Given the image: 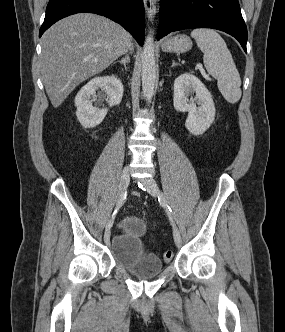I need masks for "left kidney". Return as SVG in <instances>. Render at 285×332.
<instances>
[{
  "mask_svg": "<svg viewBox=\"0 0 285 332\" xmlns=\"http://www.w3.org/2000/svg\"><path fill=\"white\" fill-rule=\"evenodd\" d=\"M193 93L195 98L188 97ZM197 100L199 107L194 103ZM174 107L179 112H188L185 127L193 135L203 134L215 119V106L205 85L193 74L183 73L174 81Z\"/></svg>",
  "mask_w": 285,
  "mask_h": 332,
  "instance_id": "1",
  "label": "left kidney"
}]
</instances>
